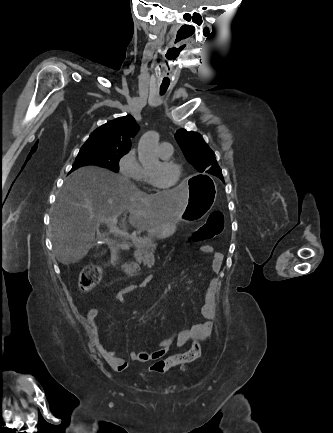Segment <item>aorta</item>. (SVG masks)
I'll use <instances>...</instances> for the list:
<instances>
[{"mask_svg":"<svg viewBox=\"0 0 333 433\" xmlns=\"http://www.w3.org/2000/svg\"><path fill=\"white\" fill-rule=\"evenodd\" d=\"M159 134L156 131L146 132L138 143V158L143 166H156L159 164L157 145Z\"/></svg>","mask_w":333,"mask_h":433,"instance_id":"1","label":"aorta"}]
</instances>
